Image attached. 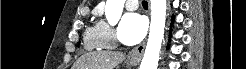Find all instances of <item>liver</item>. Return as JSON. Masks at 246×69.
Segmentation results:
<instances>
[{
	"mask_svg": "<svg viewBox=\"0 0 246 69\" xmlns=\"http://www.w3.org/2000/svg\"><path fill=\"white\" fill-rule=\"evenodd\" d=\"M125 59L121 52L101 51L81 56L76 69H114Z\"/></svg>",
	"mask_w": 246,
	"mask_h": 69,
	"instance_id": "liver-1",
	"label": "liver"
}]
</instances>
